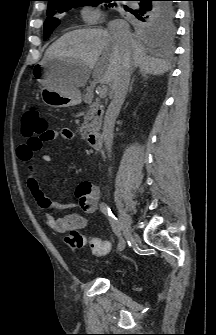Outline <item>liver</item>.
Instances as JSON below:
<instances>
[{"label":"liver","mask_w":216,"mask_h":335,"mask_svg":"<svg viewBox=\"0 0 216 335\" xmlns=\"http://www.w3.org/2000/svg\"><path fill=\"white\" fill-rule=\"evenodd\" d=\"M100 56H102L100 58ZM138 67L143 75H162L168 71L165 61L146 55L144 46L135 39L119 44L109 31L102 28L70 31L57 39L46 50L43 62L68 59L78 62L66 76V83L77 91L84 86L93 71L96 81L107 84L113 93V84L124 58Z\"/></svg>","instance_id":"1"}]
</instances>
